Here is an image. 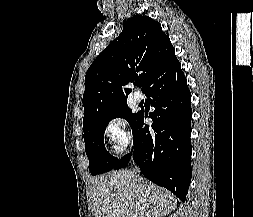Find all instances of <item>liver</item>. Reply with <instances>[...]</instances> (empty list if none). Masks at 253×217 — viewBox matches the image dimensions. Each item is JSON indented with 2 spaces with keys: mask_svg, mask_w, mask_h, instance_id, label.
<instances>
[{
  "mask_svg": "<svg viewBox=\"0 0 253 217\" xmlns=\"http://www.w3.org/2000/svg\"><path fill=\"white\" fill-rule=\"evenodd\" d=\"M170 193L130 170L93 178L94 217H162L173 209Z\"/></svg>",
  "mask_w": 253,
  "mask_h": 217,
  "instance_id": "6515ba94",
  "label": "liver"
}]
</instances>
